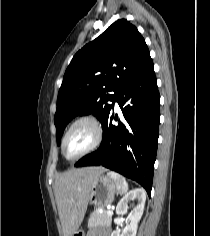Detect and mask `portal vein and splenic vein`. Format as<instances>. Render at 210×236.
Wrapping results in <instances>:
<instances>
[{"instance_id": "18ae733b", "label": "portal vein and splenic vein", "mask_w": 210, "mask_h": 236, "mask_svg": "<svg viewBox=\"0 0 210 236\" xmlns=\"http://www.w3.org/2000/svg\"><path fill=\"white\" fill-rule=\"evenodd\" d=\"M107 214H108V215H112L113 212H112L111 210H108V211H107Z\"/></svg>"}]
</instances>
